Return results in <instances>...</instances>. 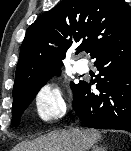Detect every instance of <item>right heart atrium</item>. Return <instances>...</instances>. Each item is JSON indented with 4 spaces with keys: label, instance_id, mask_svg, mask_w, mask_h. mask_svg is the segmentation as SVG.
<instances>
[{
    "label": "right heart atrium",
    "instance_id": "obj_1",
    "mask_svg": "<svg viewBox=\"0 0 131 151\" xmlns=\"http://www.w3.org/2000/svg\"><path fill=\"white\" fill-rule=\"evenodd\" d=\"M35 107L43 121L61 117L66 110V103L60 88L50 83L42 85L36 93Z\"/></svg>",
    "mask_w": 131,
    "mask_h": 151
}]
</instances>
